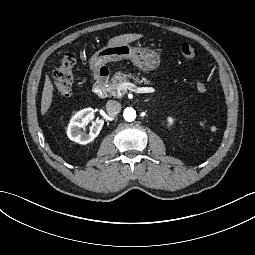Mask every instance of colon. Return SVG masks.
Masks as SVG:
<instances>
[{
  "label": "colon",
  "mask_w": 255,
  "mask_h": 255,
  "mask_svg": "<svg viewBox=\"0 0 255 255\" xmlns=\"http://www.w3.org/2000/svg\"><path fill=\"white\" fill-rule=\"evenodd\" d=\"M182 56L191 60L194 59L198 51L191 44L185 42L180 48ZM77 62V56L74 52H68L60 59L58 67L54 71V81L56 94L60 98L68 97L74 84V67ZM197 89L199 92H205L207 87L205 83L198 82Z\"/></svg>",
  "instance_id": "1"
}]
</instances>
